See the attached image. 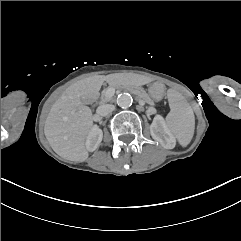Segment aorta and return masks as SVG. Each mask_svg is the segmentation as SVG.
Segmentation results:
<instances>
[{
    "label": "aorta",
    "instance_id": "762f6f07",
    "mask_svg": "<svg viewBox=\"0 0 241 241\" xmlns=\"http://www.w3.org/2000/svg\"><path fill=\"white\" fill-rule=\"evenodd\" d=\"M132 96L128 93L119 94L117 97V104L121 108H128L132 105Z\"/></svg>",
    "mask_w": 241,
    "mask_h": 241
}]
</instances>
